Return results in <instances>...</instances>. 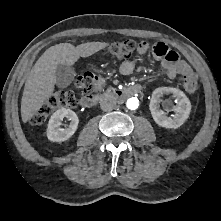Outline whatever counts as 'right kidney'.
I'll use <instances>...</instances> for the list:
<instances>
[{"label":"right kidney","mask_w":221,"mask_h":221,"mask_svg":"<svg viewBox=\"0 0 221 221\" xmlns=\"http://www.w3.org/2000/svg\"><path fill=\"white\" fill-rule=\"evenodd\" d=\"M67 118L70 125L67 128H60L61 121ZM79 119L76 113L70 109H59L51 116L47 127V138L52 142L68 140L77 130Z\"/></svg>","instance_id":"obj_1"}]
</instances>
